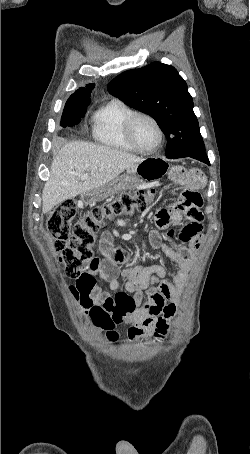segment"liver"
I'll return each mask as SVG.
<instances>
[{
    "instance_id": "liver-1",
    "label": "liver",
    "mask_w": 250,
    "mask_h": 454,
    "mask_svg": "<svg viewBox=\"0 0 250 454\" xmlns=\"http://www.w3.org/2000/svg\"><path fill=\"white\" fill-rule=\"evenodd\" d=\"M144 160L122 150L84 141L65 144L52 162L42 193V212L48 213L67 199L108 184L125 169ZM85 172L90 175L82 180L79 175Z\"/></svg>"
}]
</instances>
